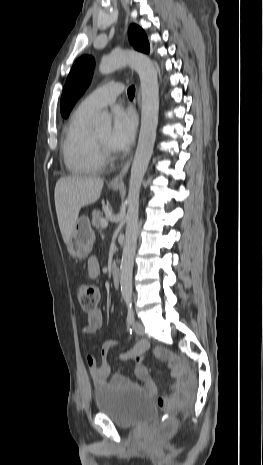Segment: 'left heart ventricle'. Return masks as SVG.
Here are the masks:
<instances>
[{"instance_id": "b2bd125f", "label": "left heart ventricle", "mask_w": 263, "mask_h": 465, "mask_svg": "<svg viewBox=\"0 0 263 465\" xmlns=\"http://www.w3.org/2000/svg\"><path fill=\"white\" fill-rule=\"evenodd\" d=\"M101 142H103L105 145L109 146V136H110V131L109 130H104L100 133H97L95 135ZM110 147V146H109Z\"/></svg>"}]
</instances>
